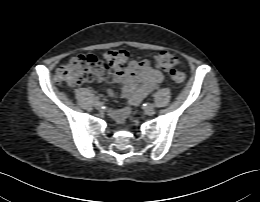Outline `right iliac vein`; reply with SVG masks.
<instances>
[{
  "label": "right iliac vein",
  "mask_w": 260,
  "mask_h": 202,
  "mask_svg": "<svg viewBox=\"0 0 260 202\" xmlns=\"http://www.w3.org/2000/svg\"><path fill=\"white\" fill-rule=\"evenodd\" d=\"M95 108L98 109V110L101 109L102 108V102L96 101L95 102Z\"/></svg>",
  "instance_id": "obj_1"
}]
</instances>
